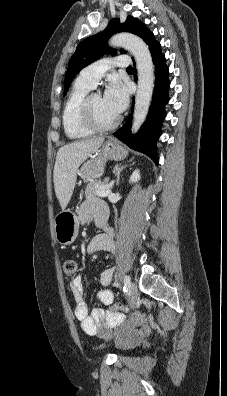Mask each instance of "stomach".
I'll list each match as a JSON object with an SVG mask.
<instances>
[{"label":"stomach","mask_w":227,"mask_h":396,"mask_svg":"<svg viewBox=\"0 0 227 396\" xmlns=\"http://www.w3.org/2000/svg\"><path fill=\"white\" fill-rule=\"evenodd\" d=\"M127 151L115 141H107L102 148L83 163L79 176L84 181L96 180L104 173V165L107 160H122L126 157ZM54 231L56 240L62 245H70L75 241L79 231V220L75 213L63 210L54 218Z\"/></svg>","instance_id":"0dacf381"}]
</instances>
